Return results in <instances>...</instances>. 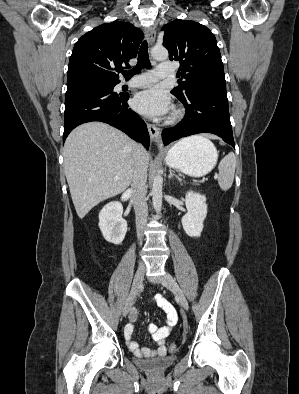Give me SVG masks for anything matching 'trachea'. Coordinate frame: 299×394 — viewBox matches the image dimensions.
<instances>
[{"mask_svg": "<svg viewBox=\"0 0 299 394\" xmlns=\"http://www.w3.org/2000/svg\"><path fill=\"white\" fill-rule=\"evenodd\" d=\"M150 65L148 43L147 41H144L138 53V63L136 67L130 71H122V74L126 79H130L133 75L140 73L143 68H150Z\"/></svg>", "mask_w": 299, "mask_h": 394, "instance_id": "3493384b", "label": "trachea"}]
</instances>
